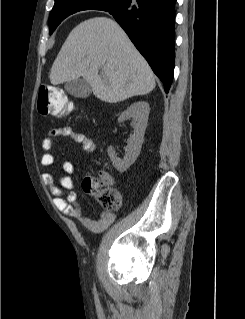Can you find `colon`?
Segmentation results:
<instances>
[{
	"label": "colon",
	"mask_w": 245,
	"mask_h": 319,
	"mask_svg": "<svg viewBox=\"0 0 245 319\" xmlns=\"http://www.w3.org/2000/svg\"><path fill=\"white\" fill-rule=\"evenodd\" d=\"M73 105L67 101L63 91L52 85H43L39 89L37 109L41 115L64 114L70 111ZM105 175L102 173L100 178H85L82 186L85 192L95 196L107 211H115L121 203L120 194L104 183Z\"/></svg>",
	"instance_id": "1"
}]
</instances>
